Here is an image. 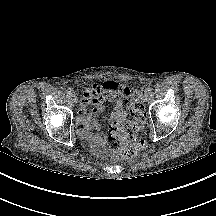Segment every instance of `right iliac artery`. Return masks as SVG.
<instances>
[{"label": "right iliac artery", "mask_w": 216, "mask_h": 216, "mask_svg": "<svg viewBox=\"0 0 216 216\" xmlns=\"http://www.w3.org/2000/svg\"><path fill=\"white\" fill-rule=\"evenodd\" d=\"M68 95H69V96H73V95H75V92H74L73 90H69V91H68Z\"/></svg>", "instance_id": "right-iliac-artery-1"}]
</instances>
